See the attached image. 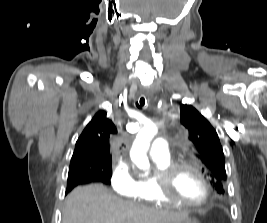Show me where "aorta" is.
Instances as JSON below:
<instances>
[{"label":"aorta","instance_id":"obj_1","mask_svg":"<svg viewBox=\"0 0 267 223\" xmlns=\"http://www.w3.org/2000/svg\"><path fill=\"white\" fill-rule=\"evenodd\" d=\"M157 127L153 123L146 124L137 134L130 150V157L133 163L142 170H148L150 167L146 152L150 141L157 134Z\"/></svg>","mask_w":267,"mask_h":223}]
</instances>
